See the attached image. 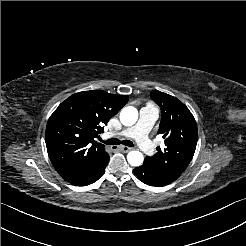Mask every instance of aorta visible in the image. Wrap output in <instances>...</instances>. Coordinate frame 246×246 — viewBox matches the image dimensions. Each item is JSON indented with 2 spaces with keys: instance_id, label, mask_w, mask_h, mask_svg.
<instances>
[{
  "instance_id": "762f6f07",
  "label": "aorta",
  "mask_w": 246,
  "mask_h": 246,
  "mask_svg": "<svg viewBox=\"0 0 246 246\" xmlns=\"http://www.w3.org/2000/svg\"><path fill=\"white\" fill-rule=\"evenodd\" d=\"M138 119V110L133 106L124 107L120 112V121L125 126L133 125ZM128 163L131 166H141L144 160L143 154L139 151H131L127 155Z\"/></svg>"
}]
</instances>
